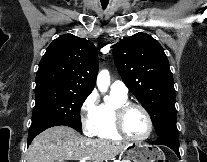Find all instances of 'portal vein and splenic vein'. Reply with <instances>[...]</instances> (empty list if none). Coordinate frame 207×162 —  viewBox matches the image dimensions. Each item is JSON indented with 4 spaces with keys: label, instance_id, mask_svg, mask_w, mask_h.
<instances>
[{
    "label": "portal vein and splenic vein",
    "instance_id": "portal-vein-and-splenic-vein-1",
    "mask_svg": "<svg viewBox=\"0 0 207 162\" xmlns=\"http://www.w3.org/2000/svg\"><path fill=\"white\" fill-rule=\"evenodd\" d=\"M80 162H88L87 160H80ZM94 162H98V161H94Z\"/></svg>",
    "mask_w": 207,
    "mask_h": 162
}]
</instances>
